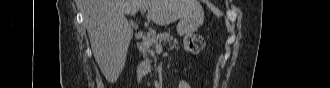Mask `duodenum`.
<instances>
[{
	"instance_id": "410a0bca",
	"label": "duodenum",
	"mask_w": 330,
	"mask_h": 88,
	"mask_svg": "<svg viewBox=\"0 0 330 88\" xmlns=\"http://www.w3.org/2000/svg\"><path fill=\"white\" fill-rule=\"evenodd\" d=\"M138 71L140 72V74L142 76L147 75L151 71V65L148 62H144V63L139 65Z\"/></svg>"
}]
</instances>
